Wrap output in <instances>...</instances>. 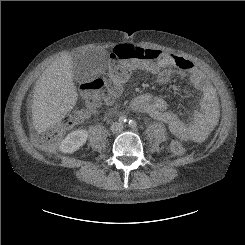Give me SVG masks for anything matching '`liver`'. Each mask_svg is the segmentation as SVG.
Returning <instances> with one entry per match:
<instances>
[{"mask_svg": "<svg viewBox=\"0 0 245 245\" xmlns=\"http://www.w3.org/2000/svg\"><path fill=\"white\" fill-rule=\"evenodd\" d=\"M73 59L63 55L53 61L36 82L32 104L34 128L42 133L59 123L76 103Z\"/></svg>", "mask_w": 245, "mask_h": 245, "instance_id": "1", "label": "liver"}]
</instances>
